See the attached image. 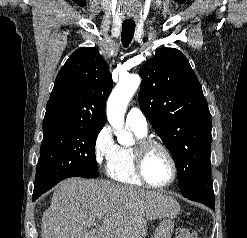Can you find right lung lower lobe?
I'll list each match as a JSON object with an SVG mask.
<instances>
[{
	"label": "right lung lower lobe",
	"mask_w": 247,
	"mask_h": 238,
	"mask_svg": "<svg viewBox=\"0 0 247 238\" xmlns=\"http://www.w3.org/2000/svg\"><path fill=\"white\" fill-rule=\"evenodd\" d=\"M38 197H33V201L36 200Z\"/></svg>",
	"instance_id": "98d812e1"
}]
</instances>
